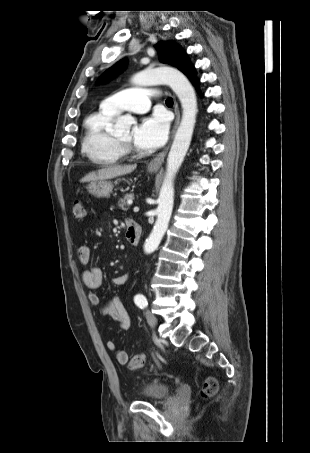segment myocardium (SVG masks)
<instances>
[{
    "label": "myocardium",
    "instance_id": "1",
    "mask_svg": "<svg viewBox=\"0 0 310 453\" xmlns=\"http://www.w3.org/2000/svg\"><path fill=\"white\" fill-rule=\"evenodd\" d=\"M114 140L117 143V145L122 149L124 155H129L134 152V148L130 142L121 141L116 137H114Z\"/></svg>",
    "mask_w": 310,
    "mask_h": 453
}]
</instances>
